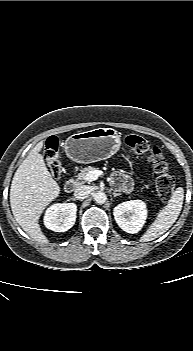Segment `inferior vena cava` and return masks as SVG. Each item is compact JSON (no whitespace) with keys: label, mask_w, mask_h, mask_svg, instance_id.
<instances>
[{"label":"inferior vena cava","mask_w":193,"mask_h":351,"mask_svg":"<svg viewBox=\"0 0 193 351\" xmlns=\"http://www.w3.org/2000/svg\"><path fill=\"white\" fill-rule=\"evenodd\" d=\"M89 194H90V188L89 186H86V185H80L74 191V196L78 200H83L87 198Z\"/></svg>","instance_id":"inferior-vena-cava-1"}]
</instances>
